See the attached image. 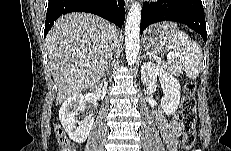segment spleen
<instances>
[{
    "mask_svg": "<svg viewBox=\"0 0 231 151\" xmlns=\"http://www.w3.org/2000/svg\"><path fill=\"white\" fill-rule=\"evenodd\" d=\"M172 49L179 53L178 60L186 76L191 79L197 78L203 58L201 47L186 33L176 30L172 37Z\"/></svg>",
    "mask_w": 231,
    "mask_h": 151,
    "instance_id": "3e777b00",
    "label": "spleen"
}]
</instances>
